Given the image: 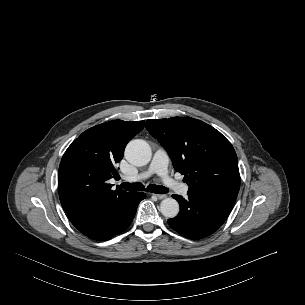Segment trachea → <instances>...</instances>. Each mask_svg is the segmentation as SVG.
I'll use <instances>...</instances> for the list:
<instances>
[{
  "instance_id": "1",
  "label": "trachea",
  "mask_w": 305,
  "mask_h": 305,
  "mask_svg": "<svg viewBox=\"0 0 305 305\" xmlns=\"http://www.w3.org/2000/svg\"><path fill=\"white\" fill-rule=\"evenodd\" d=\"M121 187L130 191V192L145 190L143 184L140 183V182L122 183ZM147 191L152 192V193H157V194H165V193L168 192V189L166 187H163V186H159V185H156V184H151L147 187Z\"/></svg>"
}]
</instances>
